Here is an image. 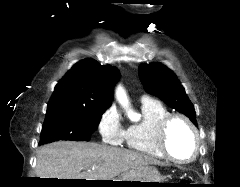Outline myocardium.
<instances>
[{
  "label": "myocardium",
  "instance_id": "f54148a6",
  "mask_svg": "<svg viewBox=\"0 0 240 187\" xmlns=\"http://www.w3.org/2000/svg\"><path fill=\"white\" fill-rule=\"evenodd\" d=\"M180 120L183 123L187 125V127L190 129L192 136H193V141H194V150L190 158L181 160L176 158L168 149L167 146V136H168V130L171 124L176 121ZM156 140H157V146L161 153L170 161L176 163V164H188L193 162L194 160L197 159L200 153L201 149V140L199 137L198 130L196 126L193 124V122L186 116L182 114H177V113H171L168 114L166 117H164L157 128V133H156Z\"/></svg>",
  "mask_w": 240,
  "mask_h": 187
}]
</instances>
